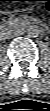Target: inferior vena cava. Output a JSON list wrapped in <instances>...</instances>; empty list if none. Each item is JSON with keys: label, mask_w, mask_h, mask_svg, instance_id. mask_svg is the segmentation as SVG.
I'll use <instances>...</instances> for the list:
<instances>
[{"label": "inferior vena cava", "mask_w": 50, "mask_h": 111, "mask_svg": "<svg viewBox=\"0 0 50 111\" xmlns=\"http://www.w3.org/2000/svg\"><path fill=\"white\" fill-rule=\"evenodd\" d=\"M23 32L22 31H14L10 34L11 37H14V36H19V35H22Z\"/></svg>", "instance_id": "602c4592"}]
</instances>
